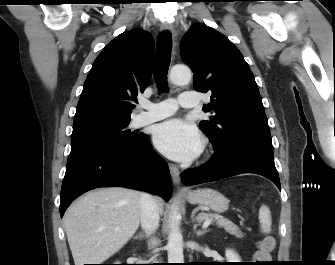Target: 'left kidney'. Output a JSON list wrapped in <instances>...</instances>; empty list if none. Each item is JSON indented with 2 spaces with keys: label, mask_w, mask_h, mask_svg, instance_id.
Returning <instances> with one entry per match:
<instances>
[{
  "label": "left kidney",
  "mask_w": 335,
  "mask_h": 265,
  "mask_svg": "<svg viewBox=\"0 0 335 265\" xmlns=\"http://www.w3.org/2000/svg\"><path fill=\"white\" fill-rule=\"evenodd\" d=\"M225 256L228 262H240V257L234 250L227 249Z\"/></svg>",
  "instance_id": "1"
}]
</instances>
